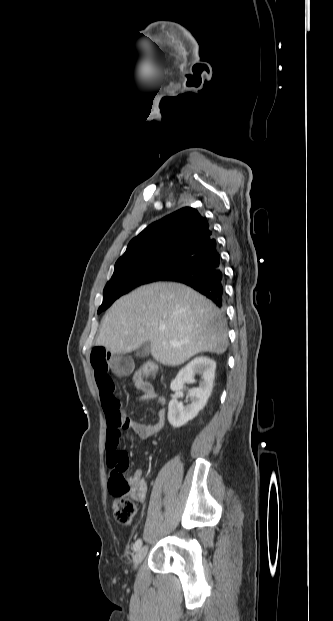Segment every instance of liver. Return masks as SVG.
<instances>
[{"instance_id":"1","label":"liver","mask_w":333,"mask_h":621,"mask_svg":"<svg viewBox=\"0 0 333 621\" xmlns=\"http://www.w3.org/2000/svg\"><path fill=\"white\" fill-rule=\"evenodd\" d=\"M227 336L223 316L210 300L182 284L154 283L112 305L96 344L120 355L149 341L156 361L177 366L197 353H224Z\"/></svg>"}]
</instances>
